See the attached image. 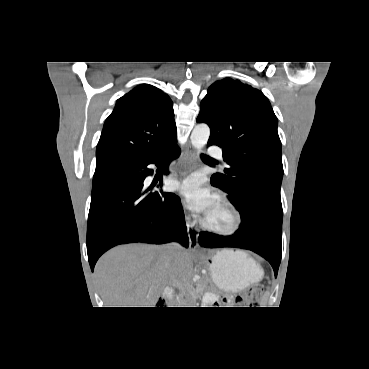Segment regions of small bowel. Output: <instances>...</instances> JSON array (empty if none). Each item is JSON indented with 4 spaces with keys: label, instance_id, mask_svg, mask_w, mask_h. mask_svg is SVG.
<instances>
[{
    "label": "small bowel",
    "instance_id": "c3829d8e",
    "mask_svg": "<svg viewBox=\"0 0 369 369\" xmlns=\"http://www.w3.org/2000/svg\"><path fill=\"white\" fill-rule=\"evenodd\" d=\"M214 299V296L213 295H208L207 297H206V300L207 301H211V300H213Z\"/></svg>",
    "mask_w": 369,
    "mask_h": 369
}]
</instances>
